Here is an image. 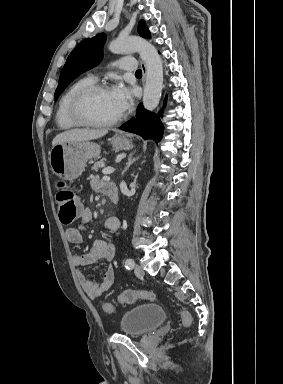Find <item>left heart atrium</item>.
Wrapping results in <instances>:
<instances>
[{"instance_id":"1","label":"left heart atrium","mask_w":283,"mask_h":384,"mask_svg":"<svg viewBox=\"0 0 283 384\" xmlns=\"http://www.w3.org/2000/svg\"><path fill=\"white\" fill-rule=\"evenodd\" d=\"M113 102L120 113L130 109L132 104V91L122 84H117L110 89Z\"/></svg>"}]
</instances>
